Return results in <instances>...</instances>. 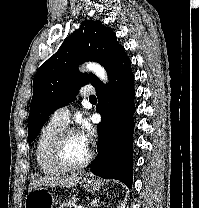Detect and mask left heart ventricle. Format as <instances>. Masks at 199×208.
<instances>
[{"label": "left heart ventricle", "instance_id": "1", "mask_svg": "<svg viewBox=\"0 0 199 208\" xmlns=\"http://www.w3.org/2000/svg\"><path fill=\"white\" fill-rule=\"evenodd\" d=\"M89 147L80 138L78 133L70 134L64 143L65 159L72 164L82 161L88 154Z\"/></svg>", "mask_w": 199, "mask_h": 208}]
</instances>
